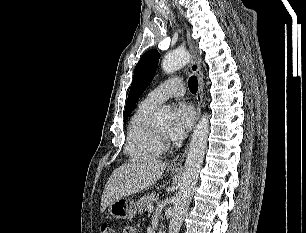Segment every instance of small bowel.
<instances>
[{
	"label": "small bowel",
	"mask_w": 306,
	"mask_h": 233,
	"mask_svg": "<svg viewBox=\"0 0 306 233\" xmlns=\"http://www.w3.org/2000/svg\"><path fill=\"white\" fill-rule=\"evenodd\" d=\"M123 233H137L135 228L133 227H126L123 231Z\"/></svg>",
	"instance_id": "obj_1"
}]
</instances>
